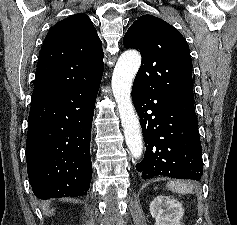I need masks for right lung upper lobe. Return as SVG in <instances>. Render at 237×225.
Returning a JSON list of instances; mask_svg holds the SVG:
<instances>
[{
	"instance_id": "obj_1",
	"label": "right lung upper lobe",
	"mask_w": 237,
	"mask_h": 225,
	"mask_svg": "<svg viewBox=\"0 0 237 225\" xmlns=\"http://www.w3.org/2000/svg\"><path fill=\"white\" fill-rule=\"evenodd\" d=\"M103 57L102 42L87 15L59 21L47 33L39 53L31 100L61 97L100 80Z\"/></svg>"
}]
</instances>
